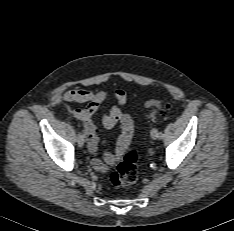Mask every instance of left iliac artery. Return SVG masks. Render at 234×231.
<instances>
[{
    "mask_svg": "<svg viewBox=\"0 0 234 231\" xmlns=\"http://www.w3.org/2000/svg\"><path fill=\"white\" fill-rule=\"evenodd\" d=\"M158 137H159V138H162V137H163L162 132H159V133H158Z\"/></svg>",
    "mask_w": 234,
    "mask_h": 231,
    "instance_id": "1",
    "label": "left iliac artery"
}]
</instances>
